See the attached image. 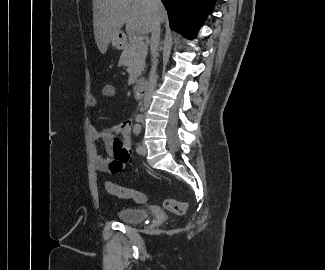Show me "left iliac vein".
Instances as JSON below:
<instances>
[{"label":"left iliac vein","mask_w":325,"mask_h":270,"mask_svg":"<svg viewBox=\"0 0 325 270\" xmlns=\"http://www.w3.org/2000/svg\"><path fill=\"white\" fill-rule=\"evenodd\" d=\"M139 154L143 156L147 154V146L144 143L141 145V151L139 152Z\"/></svg>","instance_id":"left-iliac-vein-1"}]
</instances>
